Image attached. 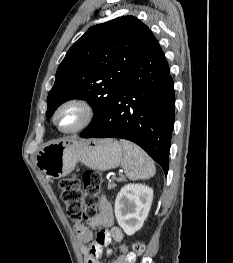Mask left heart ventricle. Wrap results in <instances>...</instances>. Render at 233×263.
<instances>
[{
	"label": "left heart ventricle",
	"instance_id": "left-heart-ventricle-1",
	"mask_svg": "<svg viewBox=\"0 0 233 263\" xmlns=\"http://www.w3.org/2000/svg\"><path fill=\"white\" fill-rule=\"evenodd\" d=\"M82 120V112L76 107L63 109L57 118L60 128L68 130L77 126Z\"/></svg>",
	"mask_w": 233,
	"mask_h": 263
}]
</instances>
